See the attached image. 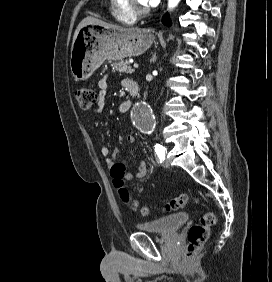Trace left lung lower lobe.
Masks as SVG:
<instances>
[{"label":"left lung lower lobe","instance_id":"left-lung-lower-lobe-1","mask_svg":"<svg viewBox=\"0 0 272 282\" xmlns=\"http://www.w3.org/2000/svg\"><path fill=\"white\" fill-rule=\"evenodd\" d=\"M163 24L170 26L171 25V21L169 19L168 13H166L162 19Z\"/></svg>","mask_w":272,"mask_h":282}]
</instances>
